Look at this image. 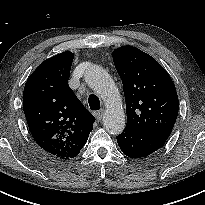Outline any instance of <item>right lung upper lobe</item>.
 <instances>
[{
	"mask_svg": "<svg viewBox=\"0 0 205 205\" xmlns=\"http://www.w3.org/2000/svg\"><path fill=\"white\" fill-rule=\"evenodd\" d=\"M73 58L67 51L43 61L23 92V109L34 140L65 160L79 154L95 121L68 85Z\"/></svg>",
	"mask_w": 205,
	"mask_h": 205,
	"instance_id": "cb5924a9",
	"label": "right lung upper lobe"
}]
</instances>
